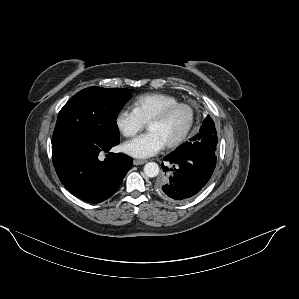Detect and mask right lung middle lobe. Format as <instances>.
<instances>
[{
  "label": "right lung middle lobe",
  "mask_w": 299,
  "mask_h": 299,
  "mask_svg": "<svg viewBox=\"0 0 299 299\" xmlns=\"http://www.w3.org/2000/svg\"><path fill=\"white\" fill-rule=\"evenodd\" d=\"M131 97L123 88L89 87L78 92L60 110L52 145L75 138L119 141L118 113Z\"/></svg>",
  "instance_id": "1"
}]
</instances>
